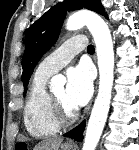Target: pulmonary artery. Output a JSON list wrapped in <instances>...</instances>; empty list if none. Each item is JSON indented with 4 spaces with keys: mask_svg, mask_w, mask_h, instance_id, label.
Instances as JSON below:
<instances>
[{
    "mask_svg": "<svg viewBox=\"0 0 139 150\" xmlns=\"http://www.w3.org/2000/svg\"><path fill=\"white\" fill-rule=\"evenodd\" d=\"M86 47L87 41L82 35L68 39L39 64L36 75L51 76L68 64L76 54L86 49Z\"/></svg>",
    "mask_w": 139,
    "mask_h": 150,
    "instance_id": "pulmonary-artery-1",
    "label": "pulmonary artery"
}]
</instances>
